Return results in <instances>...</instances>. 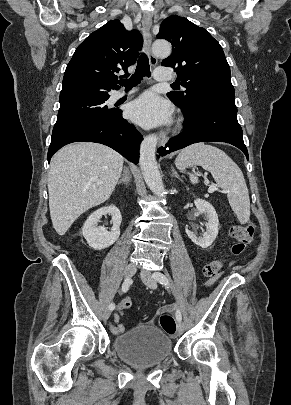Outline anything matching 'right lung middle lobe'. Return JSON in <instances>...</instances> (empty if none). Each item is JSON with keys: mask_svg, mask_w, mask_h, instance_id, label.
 Returning a JSON list of instances; mask_svg holds the SVG:
<instances>
[{"mask_svg": "<svg viewBox=\"0 0 291 405\" xmlns=\"http://www.w3.org/2000/svg\"><path fill=\"white\" fill-rule=\"evenodd\" d=\"M106 98L74 99L60 102V109L53 132L70 125L108 117L115 109H108Z\"/></svg>", "mask_w": 291, "mask_h": 405, "instance_id": "1", "label": "right lung middle lobe"}]
</instances>
